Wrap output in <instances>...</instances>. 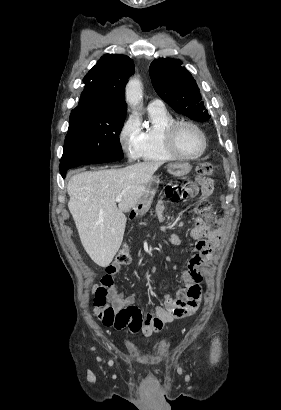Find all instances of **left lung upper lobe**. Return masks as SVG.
<instances>
[{
  "label": "left lung upper lobe",
  "instance_id": "1",
  "mask_svg": "<svg viewBox=\"0 0 281 410\" xmlns=\"http://www.w3.org/2000/svg\"><path fill=\"white\" fill-rule=\"evenodd\" d=\"M177 59L159 58L149 68L152 84L157 94L176 112L196 121L210 118L196 81Z\"/></svg>",
  "mask_w": 281,
  "mask_h": 410
}]
</instances>
